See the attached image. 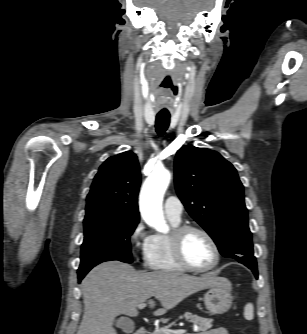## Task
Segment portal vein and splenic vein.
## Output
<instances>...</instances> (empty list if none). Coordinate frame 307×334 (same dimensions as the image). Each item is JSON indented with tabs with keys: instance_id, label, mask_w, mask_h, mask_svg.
<instances>
[{
	"instance_id": "obj_1",
	"label": "portal vein and splenic vein",
	"mask_w": 307,
	"mask_h": 334,
	"mask_svg": "<svg viewBox=\"0 0 307 334\" xmlns=\"http://www.w3.org/2000/svg\"><path fill=\"white\" fill-rule=\"evenodd\" d=\"M146 307L145 303H141L138 305V309H143ZM187 330L185 329H177V330H171V329H166L164 330L165 334H184L186 333Z\"/></svg>"
}]
</instances>
